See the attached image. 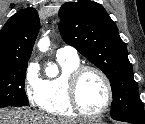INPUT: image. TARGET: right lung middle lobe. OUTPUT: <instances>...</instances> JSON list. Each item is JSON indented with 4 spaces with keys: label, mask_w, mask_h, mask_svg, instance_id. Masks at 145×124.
<instances>
[{
    "label": "right lung middle lobe",
    "mask_w": 145,
    "mask_h": 124,
    "mask_svg": "<svg viewBox=\"0 0 145 124\" xmlns=\"http://www.w3.org/2000/svg\"><path fill=\"white\" fill-rule=\"evenodd\" d=\"M27 61L0 64V107L28 105L24 90Z\"/></svg>",
    "instance_id": "dd1d6c3e"
}]
</instances>
